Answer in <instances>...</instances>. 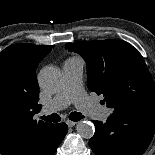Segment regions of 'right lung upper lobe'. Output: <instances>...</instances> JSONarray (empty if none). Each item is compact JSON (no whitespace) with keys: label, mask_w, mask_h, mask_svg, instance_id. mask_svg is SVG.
<instances>
[{"label":"right lung upper lobe","mask_w":155,"mask_h":155,"mask_svg":"<svg viewBox=\"0 0 155 155\" xmlns=\"http://www.w3.org/2000/svg\"><path fill=\"white\" fill-rule=\"evenodd\" d=\"M53 46L13 44L0 52V153L43 155L55 124L33 119L41 110L36 68Z\"/></svg>","instance_id":"obj_1"}]
</instances>
